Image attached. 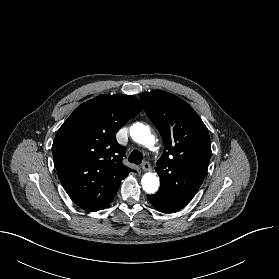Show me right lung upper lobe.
<instances>
[{"mask_svg": "<svg viewBox=\"0 0 279 279\" xmlns=\"http://www.w3.org/2000/svg\"><path fill=\"white\" fill-rule=\"evenodd\" d=\"M129 95H100L78 106L59 128L52 153L65 191L80 208H106L122 179L133 171L122 164L117 131L142 111Z\"/></svg>", "mask_w": 279, "mask_h": 279, "instance_id": "obj_1", "label": "right lung upper lobe"}]
</instances>
